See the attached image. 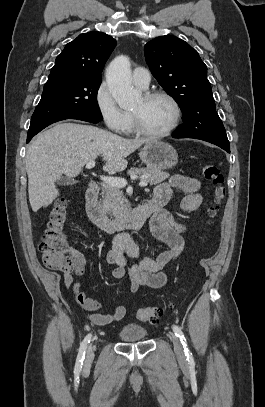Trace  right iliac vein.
<instances>
[{
  "instance_id": "right-iliac-vein-1",
  "label": "right iliac vein",
  "mask_w": 265,
  "mask_h": 407,
  "mask_svg": "<svg viewBox=\"0 0 265 407\" xmlns=\"http://www.w3.org/2000/svg\"><path fill=\"white\" fill-rule=\"evenodd\" d=\"M93 357H94V347H93V346H90V347L87 349V352H86L85 363H86V364L91 363V361L93 360Z\"/></svg>"
}]
</instances>
